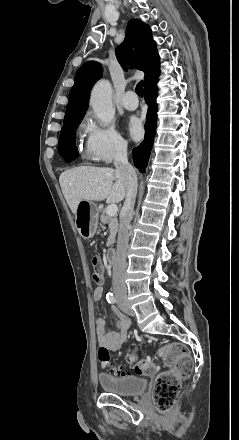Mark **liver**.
<instances>
[{
    "mask_svg": "<svg viewBox=\"0 0 239 440\" xmlns=\"http://www.w3.org/2000/svg\"><path fill=\"white\" fill-rule=\"evenodd\" d=\"M59 182L63 196L73 214H76L77 206L82 200L102 202L108 198L109 202L118 204L126 196L125 184L120 174L113 168H93V166L71 168L62 172Z\"/></svg>",
    "mask_w": 239,
    "mask_h": 440,
    "instance_id": "6515ba94",
    "label": "liver"
}]
</instances>
